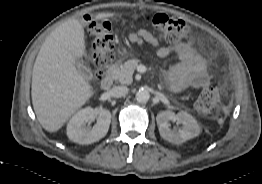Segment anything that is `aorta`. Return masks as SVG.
<instances>
[{
  "label": "aorta",
  "mask_w": 262,
  "mask_h": 184,
  "mask_svg": "<svg viewBox=\"0 0 262 184\" xmlns=\"http://www.w3.org/2000/svg\"><path fill=\"white\" fill-rule=\"evenodd\" d=\"M150 98V93L148 90L146 89H140L137 93H136V100L139 103H145L149 100Z\"/></svg>",
  "instance_id": "1"
}]
</instances>
